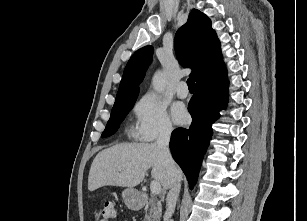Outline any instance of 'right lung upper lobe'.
I'll return each mask as SVG.
<instances>
[{"label": "right lung upper lobe", "mask_w": 307, "mask_h": 221, "mask_svg": "<svg viewBox=\"0 0 307 221\" xmlns=\"http://www.w3.org/2000/svg\"><path fill=\"white\" fill-rule=\"evenodd\" d=\"M175 51L181 64L193 69L190 76L195 78L196 88H204L226 79L220 42L212 29L211 20L199 10L193 9L188 21L178 29ZM152 56V46L142 47L132 55L125 67L115 103L138 95V86Z\"/></svg>", "instance_id": "obj_1"}]
</instances>
